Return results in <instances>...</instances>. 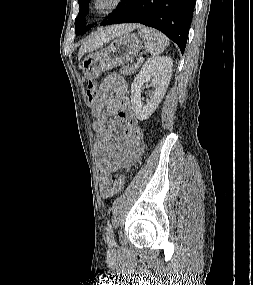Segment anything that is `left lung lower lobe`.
Listing matches in <instances>:
<instances>
[{
	"label": "left lung lower lobe",
	"instance_id": "1",
	"mask_svg": "<svg viewBox=\"0 0 253 285\" xmlns=\"http://www.w3.org/2000/svg\"><path fill=\"white\" fill-rule=\"evenodd\" d=\"M101 25L141 23L163 32L184 53L196 0H123Z\"/></svg>",
	"mask_w": 253,
	"mask_h": 285
}]
</instances>
